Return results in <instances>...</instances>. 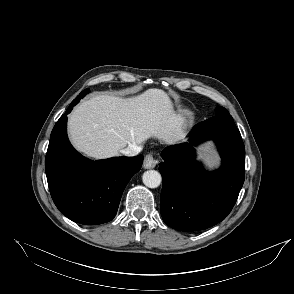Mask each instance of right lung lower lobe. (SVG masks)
Segmentation results:
<instances>
[{"label": "right lung lower lobe", "mask_w": 294, "mask_h": 294, "mask_svg": "<svg viewBox=\"0 0 294 294\" xmlns=\"http://www.w3.org/2000/svg\"><path fill=\"white\" fill-rule=\"evenodd\" d=\"M89 92L73 100L55 124L45 159L52 199L67 218L84 225L112 220L130 178L140 170L143 156L92 161L79 154L67 137V114Z\"/></svg>", "instance_id": "right-lung-lower-lobe-1"}]
</instances>
